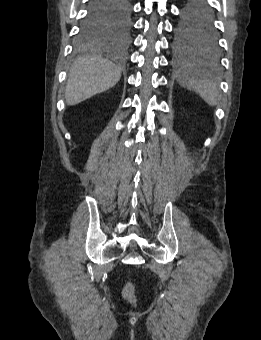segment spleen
Returning a JSON list of instances; mask_svg holds the SVG:
<instances>
[{"instance_id": "3e777b00", "label": "spleen", "mask_w": 261, "mask_h": 340, "mask_svg": "<svg viewBox=\"0 0 261 340\" xmlns=\"http://www.w3.org/2000/svg\"><path fill=\"white\" fill-rule=\"evenodd\" d=\"M179 83L197 92L209 106L218 105L220 97L216 83L206 77L198 67L190 66L184 69Z\"/></svg>"}]
</instances>
